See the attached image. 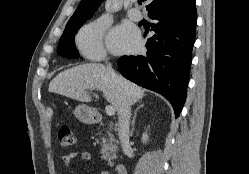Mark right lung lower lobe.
<instances>
[{
  "label": "right lung lower lobe",
  "mask_w": 249,
  "mask_h": 174,
  "mask_svg": "<svg viewBox=\"0 0 249 174\" xmlns=\"http://www.w3.org/2000/svg\"><path fill=\"white\" fill-rule=\"evenodd\" d=\"M155 35L148 39L147 53L122 56L121 74L132 82L162 94L178 117L184 105L196 33V0H183L154 10Z\"/></svg>",
  "instance_id": "right-lung-lower-lobe-1"
}]
</instances>
